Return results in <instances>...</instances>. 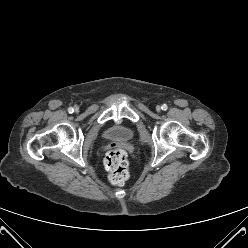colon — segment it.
Masks as SVG:
<instances>
[{"mask_svg": "<svg viewBox=\"0 0 248 248\" xmlns=\"http://www.w3.org/2000/svg\"><path fill=\"white\" fill-rule=\"evenodd\" d=\"M110 180L115 185L123 184L129 178L126 153L119 148L110 150L104 160Z\"/></svg>", "mask_w": 248, "mask_h": 248, "instance_id": "obj_1", "label": "colon"}]
</instances>
